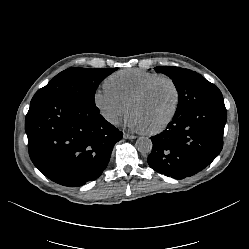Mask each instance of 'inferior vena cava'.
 <instances>
[{
	"instance_id": "obj_1",
	"label": "inferior vena cava",
	"mask_w": 249,
	"mask_h": 249,
	"mask_svg": "<svg viewBox=\"0 0 249 249\" xmlns=\"http://www.w3.org/2000/svg\"><path fill=\"white\" fill-rule=\"evenodd\" d=\"M108 121L112 124H118V119L117 120H113V119H108Z\"/></svg>"
}]
</instances>
